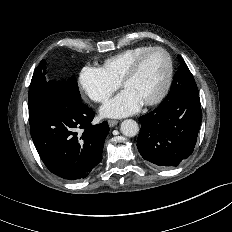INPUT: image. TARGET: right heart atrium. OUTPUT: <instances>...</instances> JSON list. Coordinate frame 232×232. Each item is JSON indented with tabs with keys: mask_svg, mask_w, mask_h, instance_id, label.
Wrapping results in <instances>:
<instances>
[{
	"mask_svg": "<svg viewBox=\"0 0 232 232\" xmlns=\"http://www.w3.org/2000/svg\"><path fill=\"white\" fill-rule=\"evenodd\" d=\"M79 86L84 94L94 102H105L118 88L101 67L84 66L79 73Z\"/></svg>",
	"mask_w": 232,
	"mask_h": 232,
	"instance_id": "d8ad5b80",
	"label": "right heart atrium"
}]
</instances>
